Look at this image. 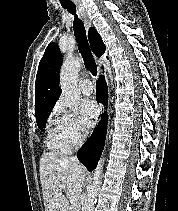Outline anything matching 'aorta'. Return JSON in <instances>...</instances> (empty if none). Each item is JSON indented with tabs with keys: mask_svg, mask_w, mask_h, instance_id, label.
<instances>
[{
	"mask_svg": "<svg viewBox=\"0 0 178 211\" xmlns=\"http://www.w3.org/2000/svg\"><path fill=\"white\" fill-rule=\"evenodd\" d=\"M82 65L80 58H68L64 61L60 71V87L66 105L74 112L78 110L80 93L77 88V77ZM104 158L102 157L94 170L93 182L85 199L82 211H93L98 190L102 182Z\"/></svg>",
	"mask_w": 178,
	"mask_h": 211,
	"instance_id": "aorta-1",
	"label": "aorta"
}]
</instances>
